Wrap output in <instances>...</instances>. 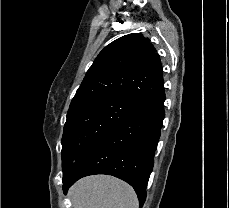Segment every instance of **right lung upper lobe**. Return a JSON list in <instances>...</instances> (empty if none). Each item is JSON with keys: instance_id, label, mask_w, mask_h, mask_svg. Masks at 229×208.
Returning <instances> with one entry per match:
<instances>
[{"instance_id": "cb5924a9", "label": "right lung upper lobe", "mask_w": 229, "mask_h": 208, "mask_svg": "<svg viewBox=\"0 0 229 208\" xmlns=\"http://www.w3.org/2000/svg\"><path fill=\"white\" fill-rule=\"evenodd\" d=\"M164 92L162 64L142 34H128L106 46L87 71L70 108L107 95L125 96L143 105Z\"/></svg>"}]
</instances>
